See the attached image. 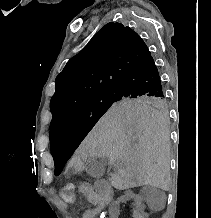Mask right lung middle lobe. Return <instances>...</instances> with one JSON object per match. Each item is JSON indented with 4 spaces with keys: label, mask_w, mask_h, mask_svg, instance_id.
Listing matches in <instances>:
<instances>
[{
    "label": "right lung middle lobe",
    "mask_w": 211,
    "mask_h": 218,
    "mask_svg": "<svg viewBox=\"0 0 211 218\" xmlns=\"http://www.w3.org/2000/svg\"><path fill=\"white\" fill-rule=\"evenodd\" d=\"M149 106L166 112L167 103L161 97H122L116 91L89 99L59 116L50 124L51 146L71 143L78 146L100 117L112 106ZM64 164L55 163V175H59Z\"/></svg>",
    "instance_id": "dd1d6c3e"
}]
</instances>
